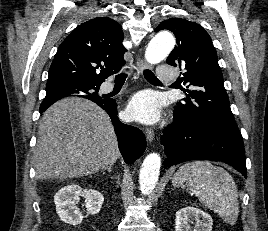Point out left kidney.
I'll return each instance as SVG.
<instances>
[{
	"instance_id": "obj_1",
	"label": "left kidney",
	"mask_w": 268,
	"mask_h": 231,
	"mask_svg": "<svg viewBox=\"0 0 268 231\" xmlns=\"http://www.w3.org/2000/svg\"><path fill=\"white\" fill-rule=\"evenodd\" d=\"M175 216V231H212V217L198 208L186 206Z\"/></svg>"
}]
</instances>
